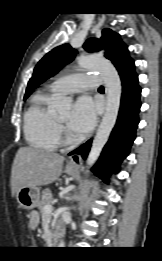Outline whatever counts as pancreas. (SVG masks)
<instances>
[{
	"instance_id": "obj_1",
	"label": "pancreas",
	"mask_w": 162,
	"mask_h": 261,
	"mask_svg": "<svg viewBox=\"0 0 162 261\" xmlns=\"http://www.w3.org/2000/svg\"><path fill=\"white\" fill-rule=\"evenodd\" d=\"M53 200V195L49 189H45L42 192L41 201L38 203V209L40 210V213L44 214V206L47 204H51Z\"/></svg>"
}]
</instances>
